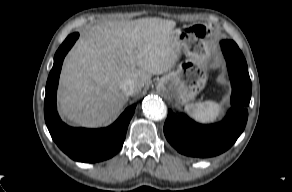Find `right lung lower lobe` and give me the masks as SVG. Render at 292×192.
Listing matches in <instances>:
<instances>
[{
    "label": "right lung lower lobe",
    "instance_id": "1",
    "mask_svg": "<svg viewBox=\"0 0 292 192\" xmlns=\"http://www.w3.org/2000/svg\"><path fill=\"white\" fill-rule=\"evenodd\" d=\"M78 37V33L69 35L54 56L46 84L44 116L52 139L64 153L73 160L93 163L109 159L119 152L136 105L127 108L114 124L103 129L71 128L61 121L56 110L59 74L65 55Z\"/></svg>",
    "mask_w": 292,
    "mask_h": 192
}]
</instances>
